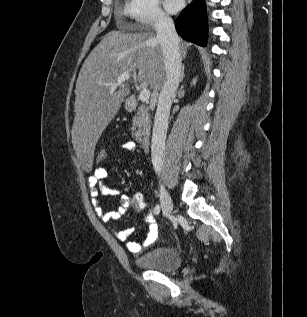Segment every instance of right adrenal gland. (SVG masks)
<instances>
[{
	"instance_id": "right-adrenal-gland-1",
	"label": "right adrenal gland",
	"mask_w": 307,
	"mask_h": 317,
	"mask_svg": "<svg viewBox=\"0 0 307 317\" xmlns=\"http://www.w3.org/2000/svg\"><path fill=\"white\" fill-rule=\"evenodd\" d=\"M183 78H184V65L182 66V69H181L180 81H183Z\"/></svg>"
}]
</instances>
